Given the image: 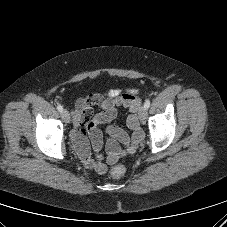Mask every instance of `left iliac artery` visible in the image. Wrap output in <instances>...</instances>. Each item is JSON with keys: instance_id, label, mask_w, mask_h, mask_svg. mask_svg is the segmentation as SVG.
Instances as JSON below:
<instances>
[{"instance_id": "1", "label": "left iliac artery", "mask_w": 227, "mask_h": 227, "mask_svg": "<svg viewBox=\"0 0 227 227\" xmlns=\"http://www.w3.org/2000/svg\"><path fill=\"white\" fill-rule=\"evenodd\" d=\"M144 107H145L146 109H148V108L150 107V100H149V99H147V100L145 101Z\"/></svg>"}]
</instances>
